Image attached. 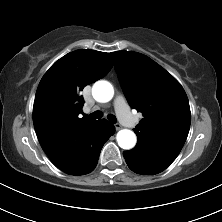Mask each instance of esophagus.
<instances>
[{
	"label": "esophagus",
	"instance_id": "obj_1",
	"mask_svg": "<svg viewBox=\"0 0 222 222\" xmlns=\"http://www.w3.org/2000/svg\"><path fill=\"white\" fill-rule=\"evenodd\" d=\"M114 127L116 130H120L122 126L119 123H115Z\"/></svg>",
	"mask_w": 222,
	"mask_h": 222
}]
</instances>
